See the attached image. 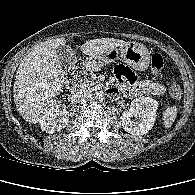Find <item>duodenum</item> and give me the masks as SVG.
<instances>
[{"label":"duodenum","mask_w":195,"mask_h":195,"mask_svg":"<svg viewBox=\"0 0 195 195\" xmlns=\"http://www.w3.org/2000/svg\"><path fill=\"white\" fill-rule=\"evenodd\" d=\"M89 68H92V67L89 66ZM70 91H71L72 94H78V93H80L82 91V85H81V83L75 82V83L71 84ZM107 92L108 93H111V94L113 93V91H112L111 88H108L107 89Z\"/></svg>","instance_id":"duodenum-1"}]
</instances>
